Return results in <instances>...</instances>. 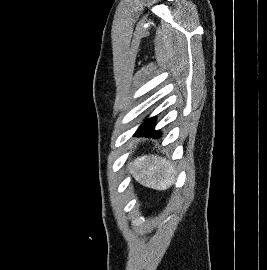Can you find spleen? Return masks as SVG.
I'll return each instance as SVG.
<instances>
[{"label": "spleen", "mask_w": 267, "mask_h": 270, "mask_svg": "<svg viewBox=\"0 0 267 270\" xmlns=\"http://www.w3.org/2000/svg\"><path fill=\"white\" fill-rule=\"evenodd\" d=\"M129 171L138 183L155 190H166L174 183L171 177L173 165L165 158L154 155L137 157Z\"/></svg>", "instance_id": "3e777b00"}]
</instances>
